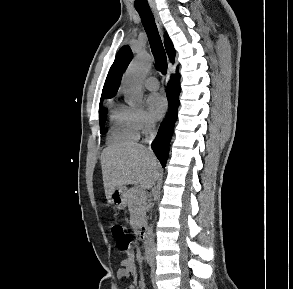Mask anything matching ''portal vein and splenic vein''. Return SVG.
Masks as SVG:
<instances>
[{
  "label": "portal vein and splenic vein",
  "instance_id": "1",
  "mask_svg": "<svg viewBox=\"0 0 293 289\" xmlns=\"http://www.w3.org/2000/svg\"><path fill=\"white\" fill-rule=\"evenodd\" d=\"M139 190H140V189H138V188H135V191H137V192H138Z\"/></svg>",
  "mask_w": 293,
  "mask_h": 289
}]
</instances>
